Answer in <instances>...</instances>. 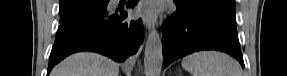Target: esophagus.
I'll return each mask as SVG.
<instances>
[{
    "instance_id": "obj_1",
    "label": "esophagus",
    "mask_w": 287,
    "mask_h": 76,
    "mask_svg": "<svg viewBox=\"0 0 287 76\" xmlns=\"http://www.w3.org/2000/svg\"><path fill=\"white\" fill-rule=\"evenodd\" d=\"M142 20H143V23L145 24V26L148 29L154 27V25L156 23V20L152 16H149V15H146V14L143 15Z\"/></svg>"
}]
</instances>
